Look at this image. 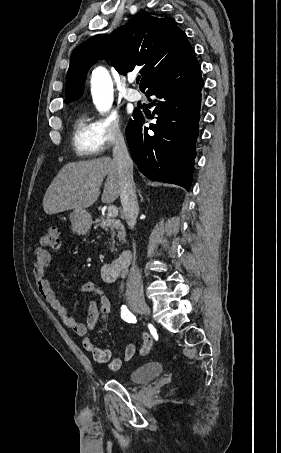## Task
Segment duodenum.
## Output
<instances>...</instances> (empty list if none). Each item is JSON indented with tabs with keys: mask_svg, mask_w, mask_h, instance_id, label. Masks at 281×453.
Masks as SVG:
<instances>
[{
	"mask_svg": "<svg viewBox=\"0 0 281 453\" xmlns=\"http://www.w3.org/2000/svg\"><path fill=\"white\" fill-rule=\"evenodd\" d=\"M131 260L130 251L122 252L116 259L103 265L101 269V276L106 282L115 281L120 275H122Z\"/></svg>",
	"mask_w": 281,
	"mask_h": 453,
	"instance_id": "duodenum-1",
	"label": "duodenum"
}]
</instances>
